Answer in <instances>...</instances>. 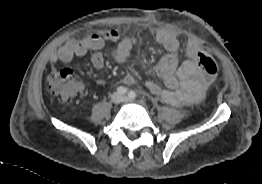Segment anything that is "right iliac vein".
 <instances>
[{"label":"right iliac vein","mask_w":262,"mask_h":184,"mask_svg":"<svg viewBox=\"0 0 262 184\" xmlns=\"http://www.w3.org/2000/svg\"><path fill=\"white\" fill-rule=\"evenodd\" d=\"M112 101L115 103V104H119L121 101H122V96L119 94V93H114L112 95Z\"/></svg>","instance_id":"obj_1"}]
</instances>
